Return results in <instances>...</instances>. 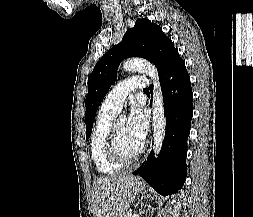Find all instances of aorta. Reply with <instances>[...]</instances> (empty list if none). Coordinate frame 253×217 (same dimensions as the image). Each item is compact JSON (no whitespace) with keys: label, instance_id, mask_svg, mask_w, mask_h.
I'll list each match as a JSON object with an SVG mask.
<instances>
[{"label":"aorta","instance_id":"762f6f07","mask_svg":"<svg viewBox=\"0 0 253 217\" xmlns=\"http://www.w3.org/2000/svg\"><path fill=\"white\" fill-rule=\"evenodd\" d=\"M122 69L126 72L138 71L153 79L154 94L152 103L153 119V144L154 154L157 157L160 153L166 130V118L164 114V102L159 83V76L156 67L144 59H129L123 63Z\"/></svg>","mask_w":253,"mask_h":217}]
</instances>
